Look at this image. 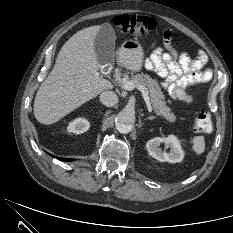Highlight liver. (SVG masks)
Returning <instances> with one entry per match:
<instances>
[{"label": "liver", "mask_w": 233, "mask_h": 233, "mask_svg": "<svg viewBox=\"0 0 233 233\" xmlns=\"http://www.w3.org/2000/svg\"><path fill=\"white\" fill-rule=\"evenodd\" d=\"M100 27L95 25L78 31L61 48L34 100V116L38 122L53 124L104 90L113 88L98 72L94 38Z\"/></svg>", "instance_id": "1"}]
</instances>
